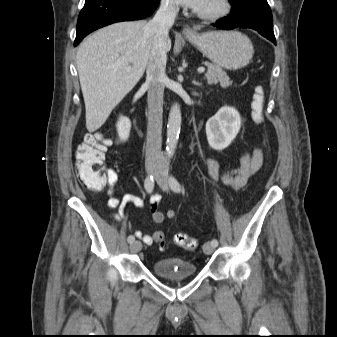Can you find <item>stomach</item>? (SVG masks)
I'll return each mask as SVG.
<instances>
[{
    "label": "stomach",
    "mask_w": 337,
    "mask_h": 337,
    "mask_svg": "<svg viewBox=\"0 0 337 337\" xmlns=\"http://www.w3.org/2000/svg\"><path fill=\"white\" fill-rule=\"evenodd\" d=\"M186 39L214 64L228 70L245 67L254 53L249 38L238 31L194 33Z\"/></svg>",
    "instance_id": "1"
}]
</instances>
